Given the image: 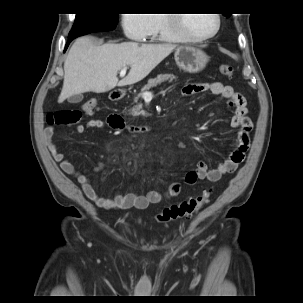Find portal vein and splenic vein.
Returning a JSON list of instances; mask_svg holds the SVG:
<instances>
[{
	"mask_svg": "<svg viewBox=\"0 0 303 303\" xmlns=\"http://www.w3.org/2000/svg\"><path fill=\"white\" fill-rule=\"evenodd\" d=\"M126 71H127V67L124 66L123 69L120 72V76L121 77L124 76L126 74ZM143 99L144 100H150V99H152V92H148V91L144 92L143 93Z\"/></svg>",
	"mask_w": 303,
	"mask_h": 303,
	"instance_id": "1",
	"label": "portal vein and splenic vein"
}]
</instances>
